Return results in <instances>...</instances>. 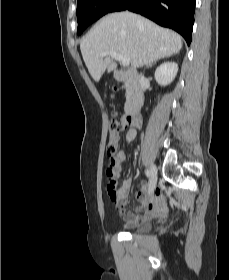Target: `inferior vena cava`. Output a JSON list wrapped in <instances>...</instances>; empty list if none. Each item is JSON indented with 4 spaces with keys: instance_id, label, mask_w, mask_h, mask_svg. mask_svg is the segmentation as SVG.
I'll return each mask as SVG.
<instances>
[{
    "instance_id": "602c4592",
    "label": "inferior vena cava",
    "mask_w": 229,
    "mask_h": 280,
    "mask_svg": "<svg viewBox=\"0 0 229 280\" xmlns=\"http://www.w3.org/2000/svg\"><path fill=\"white\" fill-rule=\"evenodd\" d=\"M145 78H144V76L141 74L140 75V81H143Z\"/></svg>"
}]
</instances>
